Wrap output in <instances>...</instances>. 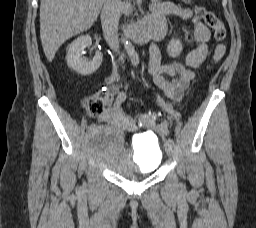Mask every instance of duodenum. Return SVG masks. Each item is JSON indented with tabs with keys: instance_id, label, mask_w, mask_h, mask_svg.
Here are the masks:
<instances>
[{
	"instance_id": "duodenum-1",
	"label": "duodenum",
	"mask_w": 256,
	"mask_h": 228,
	"mask_svg": "<svg viewBox=\"0 0 256 228\" xmlns=\"http://www.w3.org/2000/svg\"><path fill=\"white\" fill-rule=\"evenodd\" d=\"M127 37L133 42L143 44L151 39H160L161 30L148 20H144L133 26L127 33Z\"/></svg>"
}]
</instances>
